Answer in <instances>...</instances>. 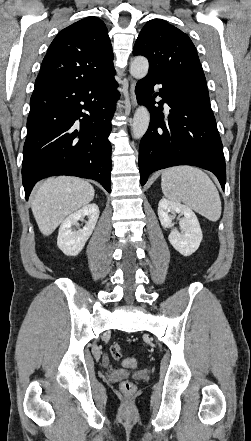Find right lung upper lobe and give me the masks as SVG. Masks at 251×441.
I'll return each mask as SVG.
<instances>
[{
	"instance_id": "cb5924a9",
	"label": "right lung upper lobe",
	"mask_w": 251,
	"mask_h": 441,
	"mask_svg": "<svg viewBox=\"0 0 251 441\" xmlns=\"http://www.w3.org/2000/svg\"><path fill=\"white\" fill-rule=\"evenodd\" d=\"M113 70L108 30L99 18L88 17L66 27L54 38L35 88L82 82Z\"/></svg>"
}]
</instances>
